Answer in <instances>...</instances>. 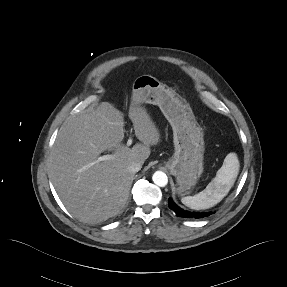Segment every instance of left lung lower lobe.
<instances>
[{"label": "left lung lower lobe", "instance_id": "left-lung-lower-lobe-1", "mask_svg": "<svg viewBox=\"0 0 287 287\" xmlns=\"http://www.w3.org/2000/svg\"><path fill=\"white\" fill-rule=\"evenodd\" d=\"M168 205H169V208L172 211H174L178 217L198 219V218L207 217L212 214L211 212L201 213V212H189V211L183 210L179 206H177L171 198L168 199Z\"/></svg>", "mask_w": 287, "mask_h": 287}]
</instances>
